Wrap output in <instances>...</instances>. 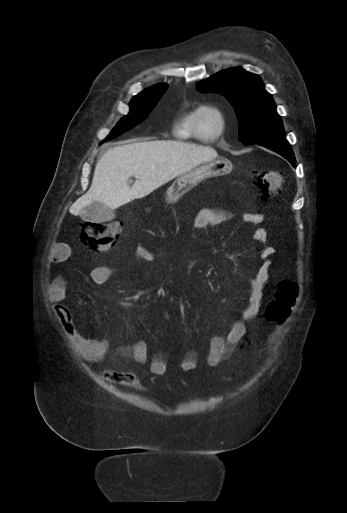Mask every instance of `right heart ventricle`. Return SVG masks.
<instances>
[{
  "label": "right heart ventricle",
  "instance_id": "obj_1",
  "mask_svg": "<svg viewBox=\"0 0 347 513\" xmlns=\"http://www.w3.org/2000/svg\"><path fill=\"white\" fill-rule=\"evenodd\" d=\"M198 107L185 111L178 119L174 129V134L178 139L208 142V139L203 134L199 135L194 130V120Z\"/></svg>",
  "mask_w": 347,
  "mask_h": 513
}]
</instances>
